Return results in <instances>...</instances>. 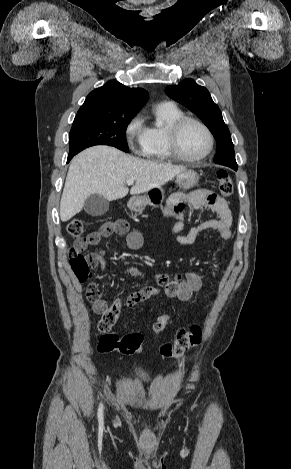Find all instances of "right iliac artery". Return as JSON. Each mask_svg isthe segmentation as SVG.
Here are the masks:
<instances>
[{"label":"right iliac artery","instance_id":"1","mask_svg":"<svg viewBox=\"0 0 291 469\" xmlns=\"http://www.w3.org/2000/svg\"><path fill=\"white\" fill-rule=\"evenodd\" d=\"M98 419L99 421L103 420V404L101 403L98 408Z\"/></svg>","mask_w":291,"mask_h":469}]
</instances>
